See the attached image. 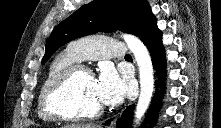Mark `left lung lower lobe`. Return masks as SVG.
<instances>
[{
    "instance_id": "obj_1",
    "label": "left lung lower lobe",
    "mask_w": 221,
    "mask_h": 128,
    "mask_svg": "<svg viewBox=\"0 0 221 128\" xmlns=\"http://www.w3.org/2000/svg\"><path fill=\"white\" fill-rule=\"evenodd\" d=\"M161 31L158 29L157 25L155 24L153 28L151 29L149 35L146 37V39L143 41L144 44L147 46L151 58L153 61L154 67L157 68L158 75H159V82L162 85L164 76H165V53H164V47L161 43ZM163 90V88H162ZM162 95H156V101L157 99H160ZM156 105V104H154ZM133 105L129 106L122 114V117L118 119L117 122V128H131V119L133 114ZM155 110V109H154ZM111 120H108L106 124H109Z\"/></svg>"
}]
</instances>
